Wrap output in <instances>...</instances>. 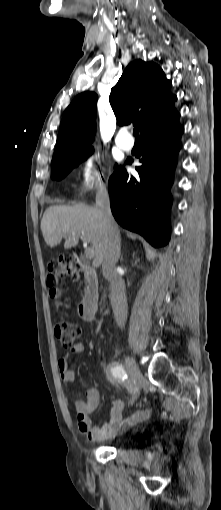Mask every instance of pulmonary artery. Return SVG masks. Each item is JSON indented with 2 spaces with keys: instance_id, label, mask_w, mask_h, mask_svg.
Listing matches in <instances>:
<instances>
[{
  "instance_id": "e3ab8cb5",
  "label": "pulmonary artery",
  "mask_w": 221,
  "mask_h": 510,
  "mask_svg": "<svg viewBox=\"0 0 221 510\" xmlns=\"http://www.w3.org/2000/svg\"><path fill=\"white\" fill-rule=\"evenodd\" d=\"M115 141L124 150H130L133 147V139L128 132H118Z\"/></svg>"
}]
</instances>
